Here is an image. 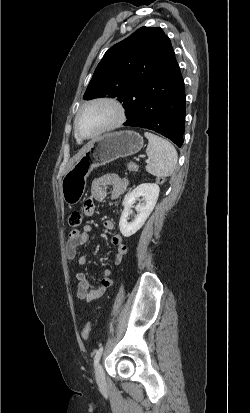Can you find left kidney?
Here are the masks:
<instances>
[{"mask_svg":"<svg viewBox=\"0 0 250 413\" xmlns=\"http://www.w3.org/2000/svg\"><path fill=\"white\" fill-rule=\"evenodd\" d=\"M159 192L160 188L157 184L144 183L137 186L126 196L124 210L119 221V228L124 237L132 236L144 225L156 205ZM140 197L142 199L135 207L137 215L132 222H128L129 210Z\"/></svg>","mask_w":250,"mask_h":413,"instance_id":"left-kidney-1","label":"left kidney"}]
</instances>
